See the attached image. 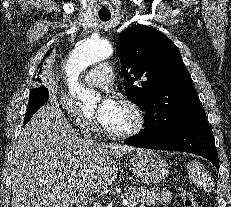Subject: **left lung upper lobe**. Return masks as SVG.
Here are the masks:
<instances>
[{"instance_id":"5c2ea615","label":"left lung upper lobe","mask_w":231,"mask_h":207,"mask_svg":"<svg viewBox=\"0 0 231 207\" xmlns=\"http://www.w3.org/2000/svg\"><path fill=\"white\" fill-rule=\"evenodd\" d=\"M127 97L146 112L142 134L164 137L206 120L192 78L175 44L158 30L136 25L116 44Z\"/></svg>"}]
</instances>
